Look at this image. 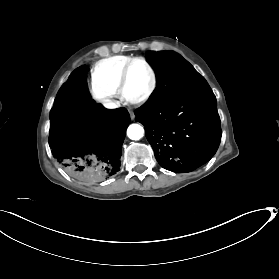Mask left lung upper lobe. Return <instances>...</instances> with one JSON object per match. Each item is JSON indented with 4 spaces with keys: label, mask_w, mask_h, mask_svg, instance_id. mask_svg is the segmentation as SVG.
Wrapping results in <instances>:
<instances>
[{
    "label": "left lung upper lobe",
    "mask_w": 279,
    "mask_h": 279,
    "mask_svg": "<svg viewBox=\"0 0 279 279\" xmlns=\"http://www.w3.org/2000/svg\"><path fill=\"white\" fill-rule=\"evenodd\" d=\"M146 58L156 71L157 85L144 106L161 105L203 78L189 62L173 51L147 52Z\"/></svg>",
    "instance_id": "obj_1"
}]
</instances>
